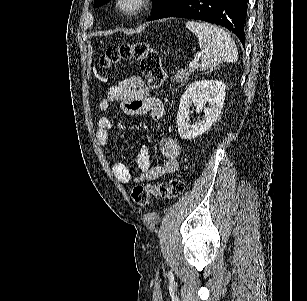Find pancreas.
<instances>
[{
    "label": "pancreas",
    "instance_id": "cf45deb5",
    "mask_svg": "<svg viewBox=\"0 0 307 301\" xmlns=\"http://www.w3.org/2000/svg\"><path fill=\"white\" fill-rule=\"evenodd\" d=\"M194 74L192 70H185V68H181V70H177V72H173L171 76L172 82H179V84H185L186 80H188L189 76Z\"/></svg>",
    "mask_w": 307,
    "mask_h": 301
}]
</instances>
